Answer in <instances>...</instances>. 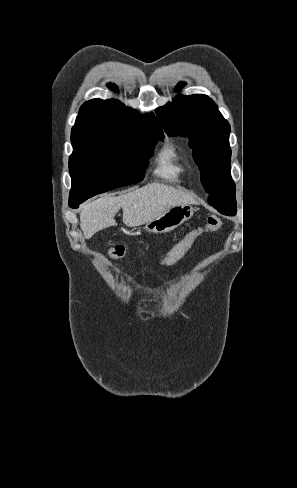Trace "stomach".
Segmentation results:
<instances>
[{
  "label": "stomach",
  "mask_w": 297,
  "mask_h": 488,
  "mask_svg": "<svg viewBox=\"0 0 297 488\" xmlns=\"http://www.w3.org/2000/svg\"><path fill=\"white\" fill-rule=\"evenodd\" d=\"M193 214L194 208L190 204L174 205L146 223L145 229L150 233H167L189 220Z\"/></svg>",
  "instance_id": "stomach-1"
}]
</instances>
